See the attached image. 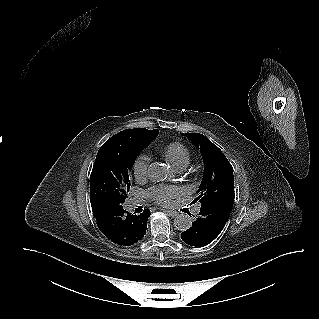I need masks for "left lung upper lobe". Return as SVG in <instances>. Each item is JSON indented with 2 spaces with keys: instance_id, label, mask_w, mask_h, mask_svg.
I'll return each mask as SVG.
<instances>
[{
  "instance_id": "1",
  "label": "left lung upper lobe",
  "mask_w": 319,
  "mask_h": 319,
  "mask_svg": "<svg viewBox=\"0 0 319 319\" xmlns=\"http://www.w3.org/2000/svg\"><path fill=\"white\" fill-rule=\"evenodd\" d=\"M187 137L200 152L204 161V175L196 201L201 206L219 202H234L233 167L222 153L208 138L198 133H181Z\"/></svg>"
}]
</instances>
